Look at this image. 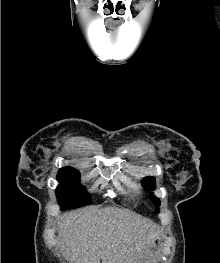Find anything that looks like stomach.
<instances>
[{
  "mask_svg": "<svg viewBox=\"0 0 220 263\" xmlns=\"http://www.w3.org/2000/svg\"><path fill=\"white\" fill-rule=\"evenodd\" d=\"M162 242V238L159 234H154L152 238L150 239L149 247L151 248H157L160 246ZM138 263H149L146 257L141 258V260Z\"/></svg>",
  "mask_w": 220,
  "mask_h": 263,
  "instance_id": "1",
  "label": "stomach"
}]
</instances>
